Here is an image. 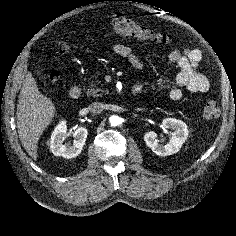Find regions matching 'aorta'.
<instances>
[{
	"label": "aorta",
	"mask_w": 236,
	"mask_h": 236,
	"mask_svg": "<svg viewBox=\"0 0 236 236\" xmlns=\"http://www.w3.org/2000/svg\"><path fill=\"white\" fill-rule=\"evenodd\" d=\"M121 123V118L119 116L113 115L110 117L111 126H118Z\"/></svg>",
	"instance_id": "aorta-1"
}]
</instances>
